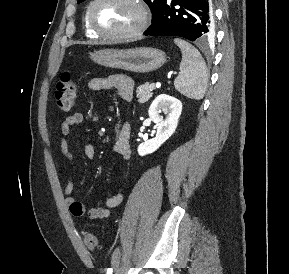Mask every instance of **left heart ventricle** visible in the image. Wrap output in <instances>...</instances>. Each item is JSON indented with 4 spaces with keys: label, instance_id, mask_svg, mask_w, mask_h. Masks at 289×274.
I'll list each match as a JSON object with an SVG mask.
<instances>
[{
    "label": "left heart ventricle",
    "instance_id": "1",
    "mask_svg": "<svg viewBox=\"0 0 289 274\" xmlns=\"http://www.w3.org/2000/svg\"><path fill=\"white\" fill-rule=\"evenodd\" d=\"M92 17L99 29L122 33L138 24L139 12L129 0H101L94 6Z\"/></svg>",
    "mask_w": 289,
    "mask_h": 274
}]
</instances>
